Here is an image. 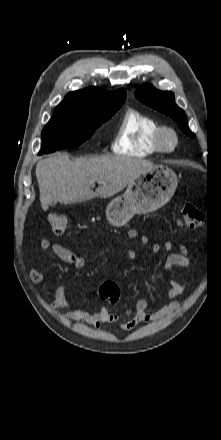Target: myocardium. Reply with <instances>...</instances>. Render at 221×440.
I'll return each instance as SVG.
<instances>
[{
	"label": "myocardium",
	"mask_w": 221,
	"mask_h": 440,
	"mask_svg": "<svg viewBox=\"0 0 221 440\" xmlns=\"http://www.w3.org/2000/svg\"><path fill=\"white\" fill-rule=\"evenodd\" d=\"M156 147L163 153L174 152L179 145L177 131L167 125L159 126L155 133Z\"/></svg>",
	"instance_id": "myocardium-1"
}]
</instances>
